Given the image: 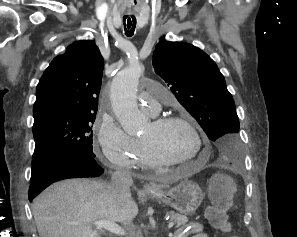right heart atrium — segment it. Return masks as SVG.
Returning <instances> with one entry per match:
<instances>
[{"label": "right heart atrium", "instance_id": "obj_1", "mask_svg": "<svg viewBox=\"0 0 297 237\" xmlns=\"http://www.w3.org/2000/svg\"><path fill=\"white\" fill-rule=\"evenodd\" d=\"M97 144L103 159L112 167L132 169L137 163L138 143L126 134L109 114H102L97 125Z\"/></svg>", "mask_w": 297, "mask_h": 237}]
</instances>
